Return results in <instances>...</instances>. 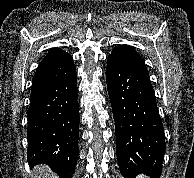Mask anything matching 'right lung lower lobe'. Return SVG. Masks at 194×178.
Instances as JSON below:
<instances>
[{
  "label": "right lung lower lobe",
  "instance_id": "98d812e1",
  "mask_svg": "<svg viewBox=\"0 0 194 178\" xmlns=\"http://www.w3.org/2000/svg\"><path fill=\"white\" fill-rule=\"evenodd\" d=\"M76 70L67 77L32 87L27 112V161L47 164L71 178L78 158L79 111Z\"/></svg>",
  "mask_w": 194,
  "mask_h": 178
}]
</instances>
